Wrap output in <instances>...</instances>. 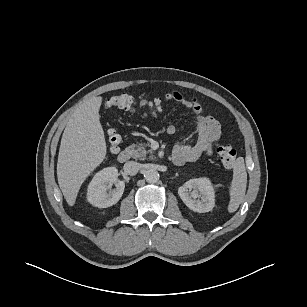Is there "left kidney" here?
<instances>
[{
  "label": "left kidney",
  "mask_w": 307,
  "mask_h": 307,
  "mask_svg": "<svg viewBox=\"0 0 307 307\" xmlns=\"http://www.w3.org/2000/svg\"><path fill=\"white\" fill-rule=\"evenodd\" d=\"M178 194L185 205L199 213L211 211L215 206V191L209 178H195L179 187Z\"/></svg>",
  "instance_id": "5707ae66"
}]
</instances>
